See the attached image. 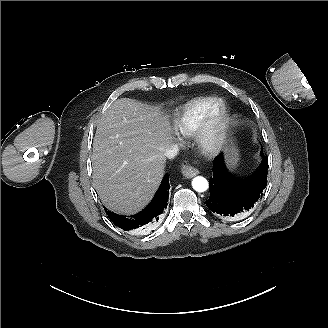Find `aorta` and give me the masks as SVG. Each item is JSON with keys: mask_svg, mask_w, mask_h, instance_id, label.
<instances>
[{"mask_svg": "<svg viewBox=\"0 0 328 328\" xmlns=\"http://www.w3.org/2000/svg\"><path fill=\"white\" fill-rule=\"evenodd\" d=\"M208 181L202 176H197L192 180V187L197 192H205L208 189Z\"/></svg>", "mask_w": 328, "mask_h": 328, "instance_id": "obj_1", "label": "aorta"}]
</instances>
